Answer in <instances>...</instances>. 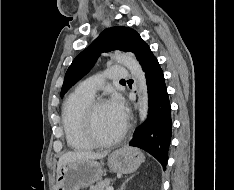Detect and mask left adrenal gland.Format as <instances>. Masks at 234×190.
I'll use <instances>...</instances> for the list:
<instances>
[{"mask_svg":"<svg viewBox=\"0 0 234 190\" xmlns=\"http://www.w3.org/2000/svg\"><path fill=\"white\" fill-rule=\"evenodd\" d=\"M131 179H132V177H130L129 179H127V180L121 185V187H120L119 190H124L126 184H127Z\"/></svg>","mask_w":234,"mask_h":190,"instance_id":"obj_1","label":"left adrenal gland"}]
</instances>
